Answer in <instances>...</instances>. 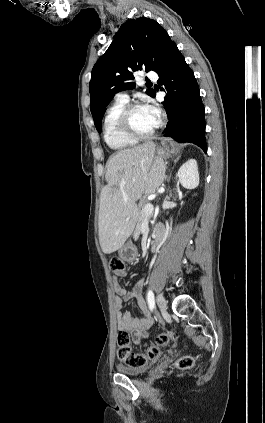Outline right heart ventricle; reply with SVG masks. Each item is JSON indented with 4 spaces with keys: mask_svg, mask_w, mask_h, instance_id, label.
I'll return each instance as SVG.
<instances>
[{
    "mask_svg": "<svg viewBox=\"0 0 265 423\" xmlns=\"http://www.w3.org/2000/svg\"><path fill=\"white\" fill-rule=\"evenodd\" d=\"M127 102L116 100L106 111L103 121V137L106 144L114 151H123L134 147L136 140L126 137L118 127V118Z\"/></svg>",
    "mask_w": 265,
    "mask_h": 423,
    "instance_id": "obj_1",
    "label": "right heart ventricle"
}]
</instances>
